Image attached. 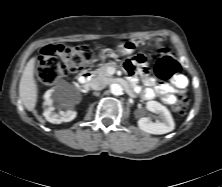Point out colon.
I'll return each instance as SVG.
<instances>
[{
	"label": "colon",
	"mask_w": 222,
	"mask_h": 187,
	"mask_svg": "<svg viewBox=\"0 0 222 187\" xmlns=\"http://www.w3.org/2000/svg\"><path fill=\"white\" fill-rule=\"evenodd\" d=\"M161 55L154 65L156 76L162 80L170 79L180 70V64L173 57L166 55L164 50H160ZM90 59L89 52L75 47L62 45L48 46L42 52L37 69V77L41 84L50 86L59 78L78 73L83 70ZM147 60H138L141 68L147 69ZM189 97L181 96L174 104V110L180 114L186 111Z\"/></svg>",
	"instance_id": "colon-1"
}]
</instances>
